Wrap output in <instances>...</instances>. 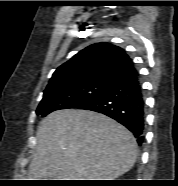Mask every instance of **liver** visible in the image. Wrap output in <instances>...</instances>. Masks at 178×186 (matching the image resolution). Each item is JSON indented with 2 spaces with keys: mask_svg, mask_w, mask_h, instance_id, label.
Wrapping results in <instances>:
<instances>
[{
  "mask_svg": "<svg viewBox=\"0 0 178 186\" xmlns=\"http://www.w3.org/2000/svg\"><path fill=\"white\" fill-rule=\"evenodd\" d=\"M132 133L93 111L65 109L39 123L29 180H114L137 158Z\"/></svg>",
  "mask_w": 178,
  "mask_h": 186,
  "instance_id": "6515ba94",
  "label": "liver"
}]
</instances>
